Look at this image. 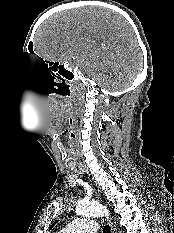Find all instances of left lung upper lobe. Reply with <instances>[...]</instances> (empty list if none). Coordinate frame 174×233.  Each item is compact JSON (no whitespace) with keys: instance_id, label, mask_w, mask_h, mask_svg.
<instances>
[{"instance_id":"5c2ea615","label":"left lung upper lobe","mask_w":174,"mask_h":233,"mask_svg":"<svg viewBox=\"0 0 174 233\" xmlns=\"http://www.w3.org/2000/svg\"><path fill=\"white\" fill-rule=\"evenodd\" d=\"M55 225V223H53L52 225H51V227H50V229H52V227Z\"/></svg>"}]
</instances>
